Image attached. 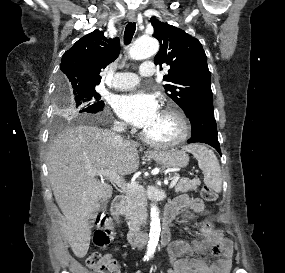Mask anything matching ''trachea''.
<instances>
[{
  "instance_id": "1",
  "label": "trachea",
  "mask_w": 285,
  "mask_h": 273,
  "mask_svg": "<svg viewBox=\"0 0 285 273\" xmlns=\"http://www.w3.org/2000/svg\"><path fill=\"white\" fill-rule=\"evenodd\" d=\"M135 30H136V23L135 22H129L126 25L125 32H124V43H125V45L130 44V42L133 38V35L135 33Z\"/></svg>"
}]
</instances>
